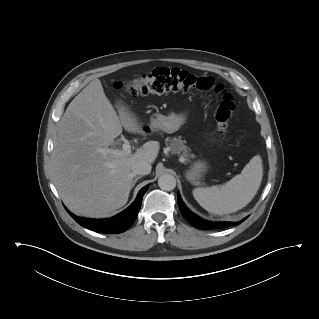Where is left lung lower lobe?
Here are the masks:
<instances>
[{
  "label": "left lung lower lobe",
  "instance_id": "left-lung-lower-lobe-1",
  "mask_svg": "<svg viewBox=\"0 0 319 319\" xmlns=\"http://www.w3.org/2000/svg\"><path fill=\"white\" fill-rule=\"evenodd\" d=\"M178 205L180 208V211L184 218L194 227L198 229L203 230H212V229H219V228H225L229 226H235L239 224L240 222H209L204 219H201L191 211H189L186 206L184 205L183 201L181 200L180 194L178 193ZM247 218V217H246ZM243 219L242 221H244Z\"/></svg>",
  "mask_w": 319,
  "mask_h": 319
}]
</instances>
